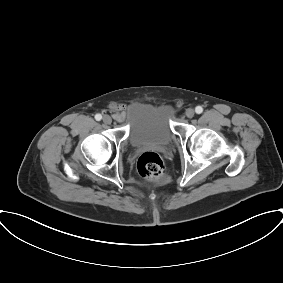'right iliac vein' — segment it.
<instances>
[{
  "label": "right iliac vein",
  "instance_id": "right-iliac-vein-1",
  "mask_svg": "<svg viewBox=\"0 0 283 283\" xmlns=\"http://www.w3.org/2000/svg\"><path fill=\"white\" fill-rule=\"evenodd\" d=\"M102 120L105 124H111L112 122V118L109 115H104Z\"/></svg>",
  "mask_w": 283,
  "mask_h": 283
}]
</instances>
